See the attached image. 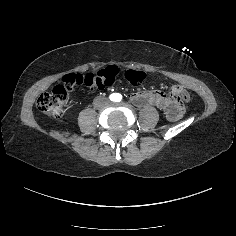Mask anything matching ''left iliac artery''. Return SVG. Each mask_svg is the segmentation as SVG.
I'll return each mask as SVG.
<instances>
[{
    "mask_svg": "<svg viewBox=\"0 0 236 236\" xmlns=\"http://www.w3.org/2000/svg\"><path fill=\"white\" fill-rule=\"evenodd\" d=\"M122 100V95L117 93L116 94V102H120Z\"/></svg>",
    "mask_w": 236,
    "mask_h": 236,
    "instance_id": "left-iliac-artery-1",
    "label": "left iliac artery"
}]
</instances>
